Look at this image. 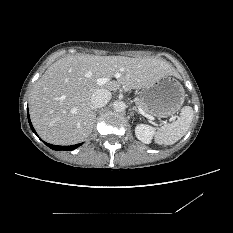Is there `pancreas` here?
<instances>
[{
	"mask_svg": "<svg viewBox=\"0 0 233 233\" xmlns=\"http://www.w3.org/2000/svg\"><path fill=\"white\" fill-rule=\"evenodd\" d=\"M136 105L138 107L142 108L146 113H149L148 108L146 107V105L144 104V102L140 98H138L136 100Z\"/></svg>",
	"mask_w": 233,
	"mask_h": 233,
	"instance_id": "obj_1",
	"label": "pancreas"
}]
</instances>
